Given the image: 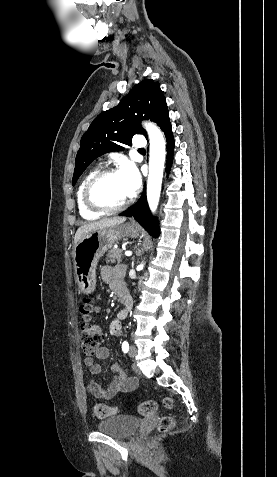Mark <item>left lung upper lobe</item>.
<instances>
[{
  "label": "left lung upper lobe",
  "mask_w": 277,
  "mask_h": 477,
  "mask_svg": "<svg viewBox=\"0 0 277 477\" xmlns=\"http://www.w3.org/2000/svg\"><path fill=\"white\" fill-rule=\"evenodd\" d=\"M142 119H150L162 128L169 121L166 99L160 84L153 80H143L114 108L99 114L81 138L80 149L75 160L72 184L87 166L100 155L119 151V144H131L135 134L146 136L141 127Z\"/></svg>",
  "instance_id": "5c2ea615"
}]
</instances>
